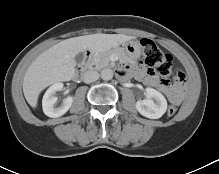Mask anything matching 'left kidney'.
Segmentation results:
<instances>
[{
    "label": "left kidney",
    "instance_id": "left-kidney-1",
    "mask_svg": "<svg viewBox=\"0 0 219 174\" xmlns=\"http://www.w3.org/2000/svg\"><path fill=\"white\" fill-rule=\"evenodd\" d=\"M146 99L136 102L137 111L150 119H159L167 110L165 97L153 88H146Z\"/></svg>",
    "mask_w": 219,
    "mask_h": 174
}]
</instances>
